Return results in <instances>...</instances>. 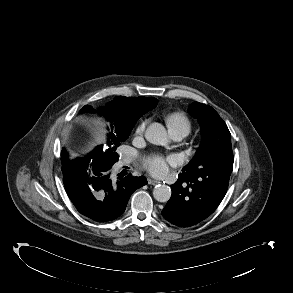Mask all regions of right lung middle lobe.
<instances>
[{"instance_id":"dd1d6c3e","label":"right lung middle lobe","mask_w":293,"mask_h":293,"mask_svg":"<svg viewBox=\"0 0 293 293\" xmlns=\"http://www.w3.org/2000/svg\"><path fill=\"white\" fill-rule=\"evenodd\" d=\"M131 129L122 130L117 132L115 135L113 134L109 136L110 138L108 142L109 149L105 150L104 152L103 149L100 148L98 150V154H101L105 160L115 163L118 160V155L115 152L116 147L120 145V142L126 141L128 136L130 135Z\"/></svg>"}]
</instances>
